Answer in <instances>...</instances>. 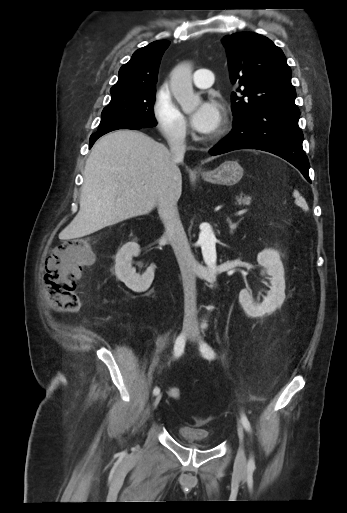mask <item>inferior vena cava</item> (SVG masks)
<instances>
[{
    "mask_svg": "<svg viewBox=\"0 0 347 513\" xmlns=\"http://www.w3.org/2000/svg\"><path fill=\"white\" fill-rule=\"evenodd\" d=\"M170 154L174 164L183 161L186 151L185 135L174 134L168 138ZM179 196L175 186L168 184L158 195L157 205L161 220L167 227L171 246L180 266L184 288V312L189 318L195 319L196 310V268L197 262L191 252L183 226L180 221L177 201Z\"/></svg>",
    "mask_w": 347,
    "mask_h": 513,
    "instance_id": "602c4592",
    "label": "inferior vena cava"
}]
</instances>
